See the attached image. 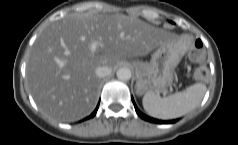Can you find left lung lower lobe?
<instances>
[{"label":"left lung lower lobe","instance_id":"1","mask_svg":"<svg viewBox=\"0 0 238 145\" xmlns=\"http://www.w3.org/2000/svg\"><path fill=\"white\" fill-rule=\"evenodd\" d=\"M132 102L134 104V107H135V110L137 112V114L144 120L146 121H149V122H152V123H158V124H169V123H174L176 122L177 120H169V121H162V120H158V119H154V118H151V117H148L146 116L145 114H143L136 106L135 102H134V99L132 98Z\"/></svg>","mask_w":238,"mask_h":145}]
</instances>
